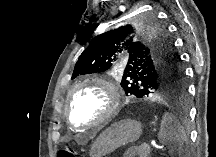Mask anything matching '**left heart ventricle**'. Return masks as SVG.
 Wrapping results in <instances>:
<instances>
[{
    "mask_svg": "<svg viewBox=\"0 0 216 157\" xmlns=\"http://www.w3.org/2000/svg\"><path fill=\"white\" fill-rule=\"evenodd\" d=\"M108 97L98 87L86 86L74 92L70 112L78 124H87L98 118L106 109Z\"/></svg>",
    "mask_w": 216,
    "mask_h": 157,
    "instance_id": "b2bd125f",
    "label": "left heart ventricle"
}]
</instances>
